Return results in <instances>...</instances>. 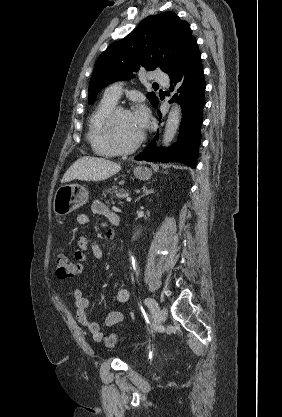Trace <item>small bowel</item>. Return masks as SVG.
I'll return each mask as SVG.
<instances>
[{"mask_svg":"<svg viewBox=\"0 0 282 417\" xmlns=\"http://www.w3.org/2000/svg\"><path fill=\"white\" fill-rule=\"evenodd\" d=\"M92 212L106 218V221L101 224V227L107 230L108 236L115 235V229L120 224L119 216L110 210L102 201L95 200L91 206ZM77 224L80 226H89L91 223L90 217L86 213H80L76 218ZM96 260L104 258V249L96 241L90 240L86 235H82L78 239V247L75 249L73 256L76 260L74 264L76 273H81L84 270V263L87 261V252ZM73 297L76 305V319L79 324L91 333L95 341L104 340L105 334L101 330L98 323L94 322L87 314L89 307V300L81 289H75ZM130 299V291L128 288L121 287L116 291V300L119 303H127ZM124 315L119 311L109 312L104 320L107 327H113L123 321Z\"/></svg>","mask_w":282,"mask_h":417,"instance_id":"c3829d8e","label":"small bowel"}]
</instances>
